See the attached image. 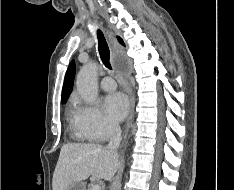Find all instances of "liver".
I'll use <instances>...</instances> for the list:
<instances>
[{"instance_id": "obj_1", "label": "liver", "mask_w": 234, "mask_h": 190, "mask_svg": "<svg viewBox=\"0 0 234 190\" xmlns=\"http://www.w3.org/2000/svg\"><path fill=\"white\" fill-rule=\"evenodd\" d=\"M120 166L118 154L100 144L67 143L61 147L52 179L53 190H66L90 176L110 181Z\"/></svg>"}]
</instances>
